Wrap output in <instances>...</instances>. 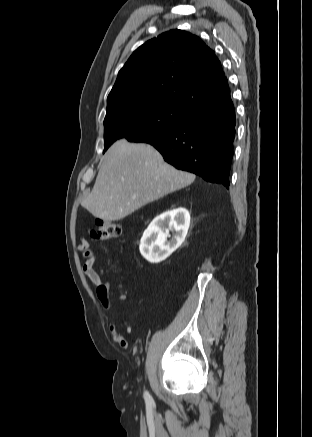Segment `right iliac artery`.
Masks as SVG:
<instances>
[{
	"label": "right iliac artery",
	"mask_w": 312,
	"mask_h": 437,
	"mask_svg": "<svg viewBox=\"0 0 312 437\" xmlns=\"http://www.w3.org/2000/svg\"><path fill=\"white\" fill-rule=\"evenodd\" d=\"M144 398L147 404H152L153 403V399L151 397V395L146 391L144 393Z\"/></svg>",
	"instance_id": "1"
}]
</instances>
